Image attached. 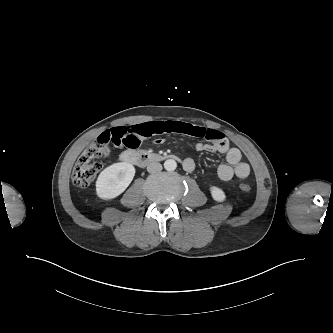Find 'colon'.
Masks as SVG:
<instances>
[{
	"mask_svg": "<svg viewBox=\"0 0 333 333\" xmlns=\"http://www.w3.org/2000/svg\"><path fill=\"white\" fill-rule=\"evenodd\" d=\"M108 143L106 140L97 139L80 155L72 173L75 185L85 187L94 180L101 169L100 160L110 154ZM240 188L244 192L250 191L249 185L245 183H241Z\"/></svg>",
	"mask_w": 333,
	"mask_h": 333,
	"instance_id": "obj_1",
	"label": "colon"
}]
</instances>
